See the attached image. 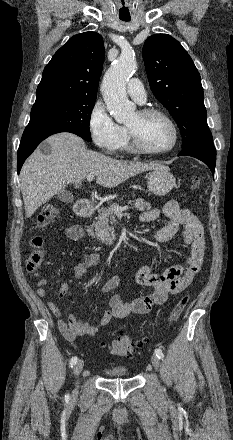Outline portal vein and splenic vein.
<instances>
[{
	"mask_svg": "<svg viewBox=\"0 0 233 440\" xmlns=\"http://www.w3.org/2000/svg\"><path fill=\"white\" fill-rule=\"evenodd\" d=\"M93 179H94L93 175H87V180L89 182L92 181ZM113 209H114L115 214H122V212L124 210L128 209V206L120 207V206L113 205Z\"/></svg>",
	"mask_w": 233,
	"mask_h": 440,
	"instance_id": "18ae733b",
	"label": "portal vein and splenic vein"
}]
</instances>
